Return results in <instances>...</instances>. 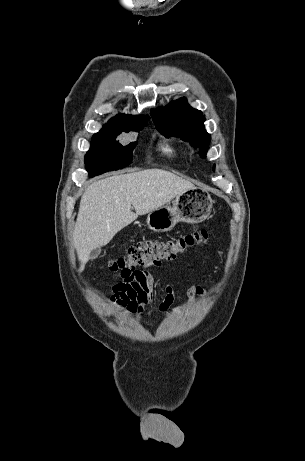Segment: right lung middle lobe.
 <instances>
[{"label":"right lung middle lobe","instance_id":"dd1d6c3e","mask_svg":"<svg viewBox=\"0 0 305 461\" xmlns=\"http://www.w3.org/2000/svg\"><path fill=\"white\" fill-rule=\"evenodd\" d=\"M146 124L147 121L128 127L116 124L104 125L103 129L93 136L91 147L85 156V167L89 176L93 177L129 165L137 142L120 144L117 136L122 132H139Z\"/></svg>","mask_w":305,"mask_h":461}]
</instances>
